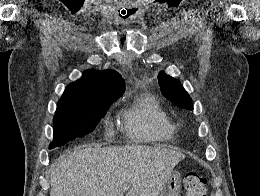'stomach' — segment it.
<instances>
[{"label": "stomach", "instance_id": "1", "mask_svg": "<svg viewBox=\"0 0 260 196\" xmlns=\"http://www.w3.org/2000/svg\"><path fill=\"white\" fill-rule=\"evenodd\" d=\"M181 184L179 174H173V176H170V180L166 182L164 190L160 192V196H179Z\"/></svg>", "mask_w": 260, "mask_h": 196}]
</instances>
